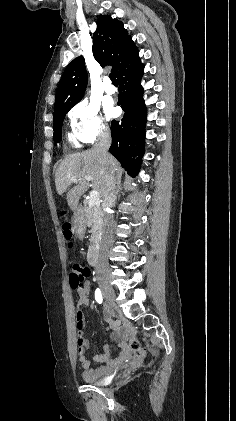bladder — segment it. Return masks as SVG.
Instances as JSON below:
<instances>
[{
  "label": "bladder",
  "mask_w": 236,
  "mask_h": 421,
  "mask_svg": "<svg viewBox=\"0 0 236 421\" xmlns=\"http://www.w3.org/2000/svg\"><path fill=\"white\" fill-rule=\"evenodd\" d=\"M91 379V383H93V384H97L98 383V380L97 379H95V378H90Z\"/></svg>",
  "instance_id": "obj_1"
}]
</instances>
